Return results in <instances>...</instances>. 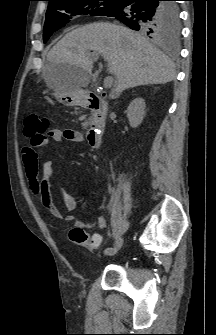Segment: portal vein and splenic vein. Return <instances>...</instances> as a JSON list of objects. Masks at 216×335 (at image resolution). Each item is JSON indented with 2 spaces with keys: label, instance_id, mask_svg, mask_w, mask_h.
Segmentation results:
<instances>
[{
  "label": "portal vein and splenic vein",
  "instance_id": "18ae733b",
  "mask_svg": "<svg viewBox=\"0 0 216 335\" xmlns=\"http://www.w3.org/2000/svg\"><path fill=\"white\" fill-rule=\"evenodd\" d=\"M114 82V78L112 76H108L104 80V88H111Z\"/></svg>",
  "mask_w": 216,
  "mask_h": 335
}]
</instances>
